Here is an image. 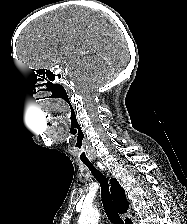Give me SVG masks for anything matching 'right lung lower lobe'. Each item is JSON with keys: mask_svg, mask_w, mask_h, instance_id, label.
Segmentation results:
<instances>
[{"mask_svg": "<svg viewBox=\"0 0 187 224\" xmlns=\"http://www.w3.org/2000/svg\"><path fill=\"white\" fill-rule=\"evenodd\" d=\"M125 224H133L131 220H129L128 222H126Z\"/></svg>", "mask_w": 187, "mask_h": 224, "instance_id": "obj_1", "label": "right lung lower lobe"}]
</instances>
